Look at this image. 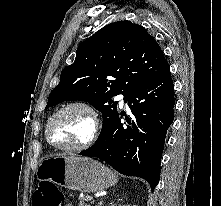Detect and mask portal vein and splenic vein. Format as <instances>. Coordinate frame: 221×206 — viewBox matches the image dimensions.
Masks as SVG:
<instances>
[{"mask_svg": "<svg viewBox=\"0 0 221 206\" xmlns=\"http://www.w3.org/2000/svg\"><path fill=\"white\" fill-rule=\"evenodd\" d=\"M86 199H87V200H92L93 198L90 197V196H87Z\"/></svg>", "mask_w": 221, "mask_h": 206, "instance_id": "obj_1", "label": "portal vein and splenic vein"}]
</instances>
